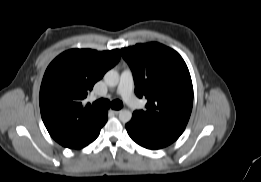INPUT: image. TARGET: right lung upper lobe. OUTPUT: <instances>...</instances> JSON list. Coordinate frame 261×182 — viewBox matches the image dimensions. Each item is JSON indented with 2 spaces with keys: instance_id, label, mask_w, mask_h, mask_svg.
Listing matches in <instances>:
<instances>
[{
  "instance_id": "right-lung-upper-lobe-1",
  "label": "right lung upper lobe",
  "mask_w": 261,
  "mask_h": 182,
  "mask_svg": "<svg viewBox=\"0 0 261 182\" xmlns=\"http://www.w3.org/2000/svg\"><path fill=\"white\" fill-rule=\"evenodd\" d=\"M119 59L118 49H71L50 63L42 80L39 102L44 125L59 144L77 148L100 123L104 111L85 107L82 100Z\"/></svg>"
}]
</instances>
